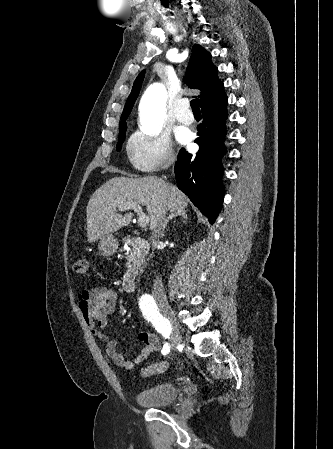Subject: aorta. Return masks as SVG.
<instances>
[{"label": "aorta", "mask_w": 333, "mask_h": 449, "mask_svg": "<svg viewBox=\"0 0 333 449\" xmlns=\"http://www.w3.org/2000/svg\"><path fill=\"white\" fill-rule=\"evenodd\" d=\"M167 91L162 83L151 85L142 97L140 119L142 130L148 135L160 132L166 115Z\"/></svg>", "instance_id": "1"}]
</instances>
